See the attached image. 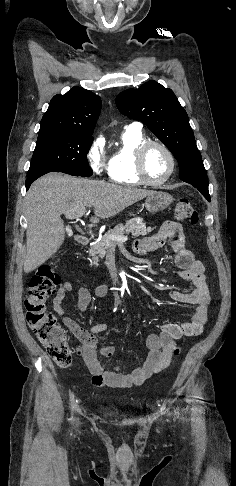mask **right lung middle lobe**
Wrapping results in <instances>:
<instances>
[{
	"instance_id": "dd1d6c3e",
	"label": "right lung middle lobe",
	"mask_w": 236,
	"mask_h": 486,
	"mask_svg": "<svg viewBox=\"0 0 236 486\" xmlns=\"http://www.w3.org/2000/svg\"><path fill=\"white\" fill-rule=\"evenodd\" d=\"M92 141V134L39 131L27 176L41 172L91 176L93 172L88 165L87 153Z\"/></svg>"
}]
</instances>
